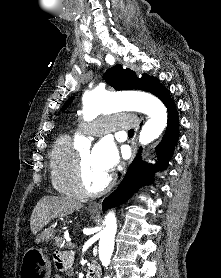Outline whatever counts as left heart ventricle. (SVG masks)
Listing matches in <instances>:
<instances>
[{
	"label": "left heart ventricle",
	"instance_id": "1",
	"mask_svg": "<svg viewBox=\"0 0 221 278\" xmlns=\"http://www.w3.org/2000/svg\"><path fill=\"white\" fill-rule=\"evenodd\" d=\"M90 149H84L80 152L84 167L85 180L89 188L98 189L108 179L109 174L102 171L92 160Z\"/></svg>",
	"mask_w": 221,
	"mask_h": 278
}]
</instances>
